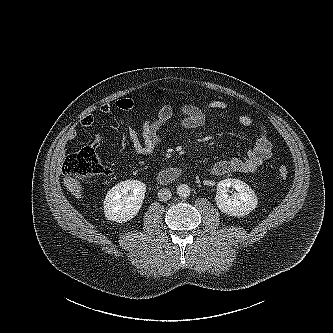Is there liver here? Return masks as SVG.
<instances>
[{"label":"liver","mask_w":333,"mask_h":333,"mask_svg":"<svg viewBox=\"0 0 333 333\" xmlns=\"http://www.w3.org/2000/svg\"><path fill=\"white\" fill-rule=\"evenodd\" d=\"M63 183L68 191L77 199L82 198V186L77 179L72 177H65Z\"/></svg>","instance_id":"6515ba94"}]
</instances>
